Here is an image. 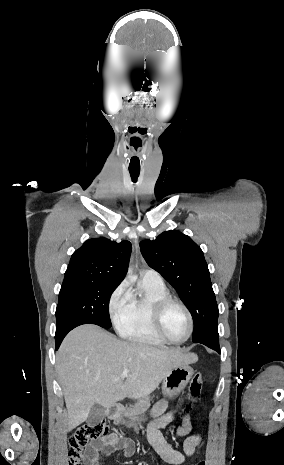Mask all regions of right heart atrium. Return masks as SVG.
<instances>
[{
    "mask_svg": "<svg viewBox=\"0 0 284 465\" xmlns=\"http://www.w3.org/2000/svg\"><path fill=\"white\" fill-rule=\"evenodd\" d=\"M133 299L132 293L126 281H123L110 294L107 301V312L110 318L115 321L117 317L129 306Z\"/></svg>",
    "mask_w": 284,
    "mask_h": 465,
    "instance_id": "d8ad5b80",
    "label": "right heart atrium"
}]
</instances>
